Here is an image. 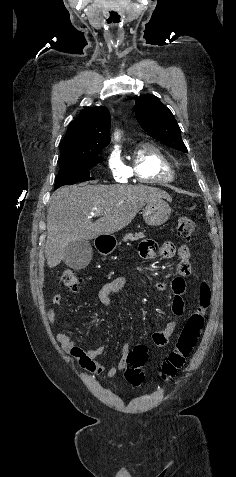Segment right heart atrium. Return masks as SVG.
Segmentation results:
<instances>
[{"label": "right heart atrium", "instance_id": "d8ad5b80", "mask_svg": "<svg viewBox=\"0 0 236 477\" xmlns=\"http://www.w3.org/2000/svg\"><path fill=\"white\" fill-rule=\"evenodd\" d=\"M107 164L116 181L125 182L130 177L127 168L116 155H111Z\"/></svg>", "mask_w": 236, "mask_h": 477}]
</instances>
